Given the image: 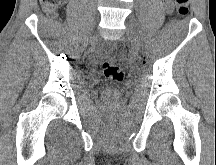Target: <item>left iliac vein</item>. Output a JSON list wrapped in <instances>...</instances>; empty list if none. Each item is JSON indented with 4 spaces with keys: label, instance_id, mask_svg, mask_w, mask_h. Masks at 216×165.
Listing matches in <instances>:
<instances>
[{
    "label": "left iliac vein",
    "instance_id": "4c4485c4",
    "mask_svg": "<svg viewBox=\"0 0 216 165\" xmlns=\"http://www.w3.org/2000/svg\"><path fill=\"white\" fill-rule=\"evenodd\" d=\"M126 34L134 48L139 50L141 47L140 38L135 26L130 21H126Z\"/></svg>",
    "mask_w": 216,
    "mask_h": 165
}]
</instances>
